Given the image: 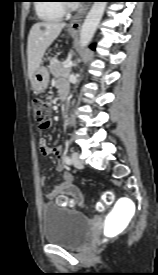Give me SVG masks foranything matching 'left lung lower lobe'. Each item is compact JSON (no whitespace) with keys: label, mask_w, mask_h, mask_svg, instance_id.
I'll return each mask as SVG.
<instances>
[{"label":"left lung lower lobe","mask_w":158,"mask_h":275,"mask_svg":"<svg viewBox=\"0 0 158 275\" xmlns=\"http://www.w3.org/2000/svg\"><path fill=\"white\" fill-rule=\"evenodd\" d=\"M91 48H92V49H94L95 47H94V46H92Z\"/></svg>","instance_id":"left-lung-lower-lobe-1"}]
</instances>
